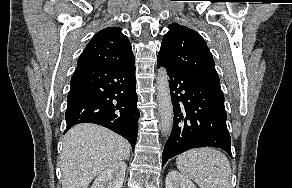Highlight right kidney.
I'll use <instances>...</instances> for the list:
<instances>
[{
	"mask_svg": "<svg viewBox=\"0 0 292 188\" xmlns=\"http://www.w3.org/2000/svg\"><path fill=\"white\" fill-rule=\"evenodd\" d=\"M126 168L124 161L113 163L97 176L91 188H122Z\"/></svg>",
	"mask_w": 292,
	"mask_h": 188,
	"instance_id": "right-kidney-1",
	"label": "right kidney"
}]
</instances>
